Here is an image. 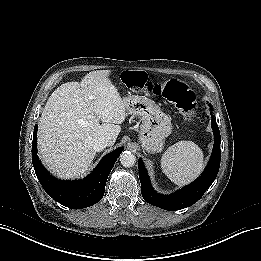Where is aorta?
<instances>
[{
  "instance_id": "obj_1",
  "label": "aorta",
  "mask_w": 261,
  "mask_h": 261,
  "mask_svg": "<svg viewBox=\"0 0 261 261\" xmlns=\"http://www.w3.org/2000/svg\"><path fill=\"white\" fill-rule=\"evenodd\" d=\"M120 163L124 167H132L136 163V156L131 151H124L120 155Z\"/></svg>"
}]
</instances>
